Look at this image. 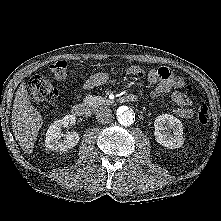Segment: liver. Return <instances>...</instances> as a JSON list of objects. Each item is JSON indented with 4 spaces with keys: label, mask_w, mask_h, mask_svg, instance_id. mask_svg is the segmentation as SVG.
<instances>
[{
    "label": "liver",
    "mask_w": 221,
    "mask_h": 221,
    "mask_svg": "<svg viewBox=\"0 0 221 221\" xmlns=\"http://www.w3.org/2000/svg\"><path fill=\"white\" fill-rule=\"evenodd\" d=\"M11 122L15 139L25 153L31 154L43 119L31 105L24 82L20 84L15 95Z\"/></svg>",
    "instance_id": "liver-1"
}]
</instances>
